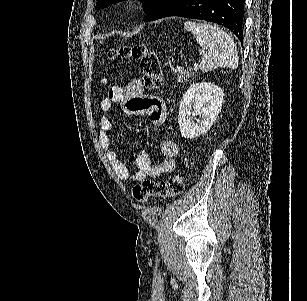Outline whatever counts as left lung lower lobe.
<instances>
[{"label": "left lung lower lobe", "instance_id": "0a47b994", "mask_svg": "<svg viewBox=\"0 0 307 301\" xmlns=\"http://www.w3.org/2000/svg\"><path fill=\"white\" fill-rule=\"evenodd\" d=\"M244 0H176L157 18L181 16L221 24L243 42Z\"/></svg>", "mask_w": 307, "mask_h": 301}]
</instances>
